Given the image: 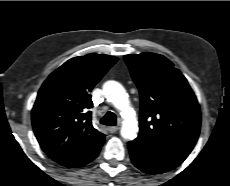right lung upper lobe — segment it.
Listing matches in <instances>:
<instances>
[{"mask_svg": "<svg viewBox=\"0 0 230 186\" xmlns=\"http://www.w3.org/2000/svg\"><path fill=\"white\" fill-rule=\"evenodd\" d=\"M116 61L104 54L74 57L43 83L32 109V125L52 160L79 167L99 152L105 135L92 126L89 92Z\"/></svg>", "mask_w": 230, "mask_h": 186, "instance_id": "1", "label": "right lung upper lobe"}]
</instances>
